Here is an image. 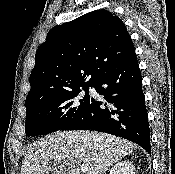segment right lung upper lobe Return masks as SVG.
<instances>
[{
    "label": "right lung upper lobe",
    "mask_w": 175,
    "mask_h": 174,
    "mask_svg": "<svg viewBox=\"0 0 175 174\" xmlns=\"http://www.w3.org/2000/svg\"><path fill=\"white\" fill-rule=\"evenodd\" d=\"M133 53L125 24L107 10H95L56 26L36 52L25 103L94 85L111 66ZM87 76L91 78L85 82Z\"/></svg>",
    "instance_id": "obj_1"
}]
</instances>
